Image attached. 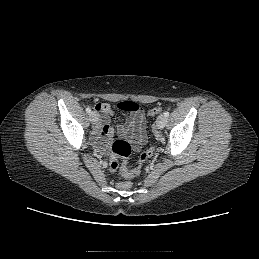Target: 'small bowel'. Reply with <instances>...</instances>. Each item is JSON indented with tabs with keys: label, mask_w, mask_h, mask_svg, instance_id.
Returning a JSON list of instances; mask_svg holds the SVG:
<instances>
[{
	"label": "small bowel",
	"mask_w": 259,
	"mask_h": 259,
	"mask_svg": "<svg viewBox=\"0 0 259 259\" xmlns=\"http://www.w3.org/2000/svg\"><path fill=\"white\" fill-rule=\"evenodd\" d=\"M94 109L100 113L98 126L94 133V143L100 150H105L114 136V130L110 127L115 113L107 103H98ZM118 136L127 139L134 150H139L145 143V117L138 108L132 111L128 119L118 126Z\"/></svg>",
	"instance_id": "1"
}]
</instances>
